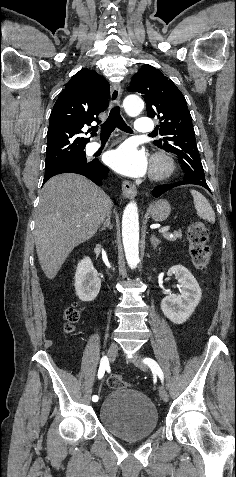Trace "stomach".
Listing matches in <instances>:
<instances>
[{
  "label": "stomach",
  "mask_w": 236,
  "mask_h": 477,
  "mask_svg": "<svg viewBox=\"0 0 236 477\" xmlns=\"http://www.w3.org/2000/svg\"><path fill=\"white\" fill-rule=\"evenodd\" d=\"M150 215L156 222L164 221L171 212V206L167 200L160 199L150 206Z\"/></svg>",
  "instance_id": "0dacf381"
}]
</instances>
